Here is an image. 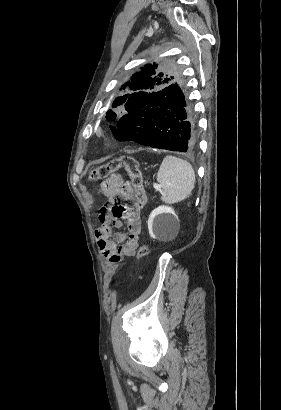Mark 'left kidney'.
<instances>
[{
	"instance_id": "obj_1",
	"label": "left kidney",
	"mask_w": 281,
	"mask_h": 410,
	"mask_svg": "<svg viewBox=\"0 0 281 410\" xmlns=\"http://www.w3.org/2000/svg\"><path fill=\"white\" fill-rule=\"evenodd\" d=\"M177 215L172 207L159 206L155 208L148 218V230L152 238H156L153 232V226L158 228L173 226L176 222Z\"/></svg>"
}]
</instances>
